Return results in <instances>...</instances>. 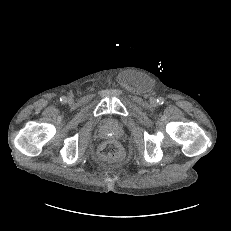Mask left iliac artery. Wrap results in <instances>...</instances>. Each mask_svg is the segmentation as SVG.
<instances>
[{
    "label": "left iliac artery",
    "instance_id": "obj_1",
    "mask_svg": "<svg viewBox=\"0 0 231 231\" xmlns=\"http://www.w3.org/2000/svg\"><path fill=\"white\" fill-rule=\"evenodd\" d=\"M157 102H159V104H163L164 99L162 97H159L158 100H157Z\"/></svg>",
    "mask_w": 231,
    "mask_h": 231
}]
</instances>
